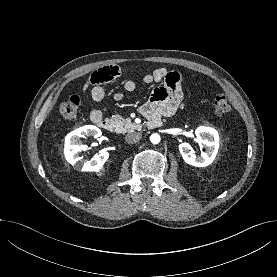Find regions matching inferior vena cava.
<instances>
[{"instance_id":"602c4592","label":"inferior vena cava","mask_w":277,"mask_h":277,"mask_svg":"<svg viewBox=\"0 0 277 277\" xmlns=\"http://www.w3.org/2000/svg\"><path fill=\"white\" fill-rule=\"evenodd\" d=\"M142 136L140 133L138 132H132V133H128L125 136V140L126 142H128L129 144H133V143H137L141 140Z\"/></svg>"}]
</instances>
